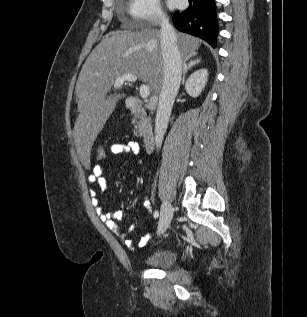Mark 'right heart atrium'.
<instances>
[{"instance_id":"right-heart-atrium-1","label":"right heart atrium","mask_w":307,"mask_h":317,"mask_svg":"<svg viewBox=\"0 0 307 317\" xmlns=\"http://www.w3.org/2000/svg\"><path fill=\"white\" fill-rule=\"evenodd\" d=\"M129 15L136 22L158 24L164 19L159 0H130Z\"/></svg>"}]
</instances>
